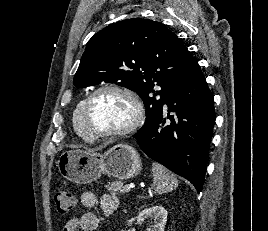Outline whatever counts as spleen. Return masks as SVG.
Returning a JSON list of instances; mask_svg holds the SVG:
<instances>
[{"mask_svg": "<svg viewBox=\"0 0 268 231\" xmlns=\"http://www.w3.org/2000/svg\"><path fill=\"white\" fill-rule=\"evenodd\" d=\"M153 172V189L159 194L171 192L178 186L176 176L167 168L159 163L152 164Z\"/></svg>", "mask_w": 268, "mask_h": 231, "instance_id": "1", "label": "spleen"}]
</instances>
